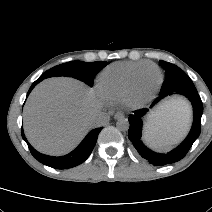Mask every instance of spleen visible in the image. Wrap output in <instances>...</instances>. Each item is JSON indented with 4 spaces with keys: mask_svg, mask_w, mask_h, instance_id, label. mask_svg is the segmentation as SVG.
Listing matches in <instances>:
<instances>
[{
    "mask_svg": "<svg viewBox=\"0 0 212 212\" xmlns=\"http://www.w3.org/2000/svg\"><path fill=\"white\" fill-rule=\"evenodd\" d=\"M179 102L188 109V105L185 102L181 100H179ZM144 138L151 147L159 149H169V147L178 140L169 134H157L149 132L148 130H146Z\"/></svg>",
    "mask_w": 212,
    "mask_h": 212,
    "instance_id": "obj_1",
    "label": "spleen"
}]
</instances>
